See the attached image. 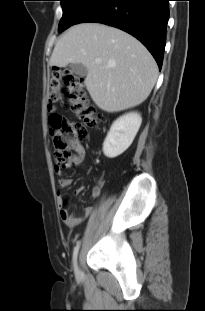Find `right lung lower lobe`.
<instances>
[{
	"label": "right lung lower lobe",
	"instance_id": "obj_1",
	"mask_svg": "<svg viewBox=\"0 0 205 311\" xmlns=\"http://www.w3.org/2000/svg\"><path fill=\"white\" fill-rule=\"evenodd\" d=\"M169 0H92L73 25L95 22L136 37L162 66L169 19Z\"/></svg>",
	"mask_w": 205,
	"mask_h": 311
}]
</instances>
